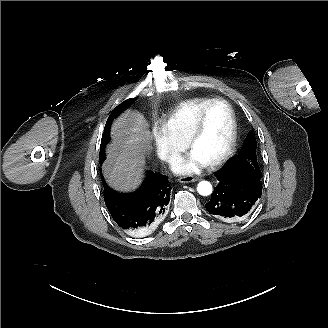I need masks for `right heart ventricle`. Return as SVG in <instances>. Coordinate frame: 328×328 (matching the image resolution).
Here are the masks:
<instances>
[{
  "mask_svg": "<svg viewBox=\"0 0 328 328\" xmlns=\"http://www.w3.org/2000/svg\"><path fill=\"white\" fill-rule=\"evenodd\" d=\"M212 98L198 97L188 99L174 108L156 116V122L160 123L169 136L175 141L185 144L187 134L202 107Z\"/></svg>",
  "mask_w": 328,
  "mask_h": 328,
  "instance_id": "e07e8e85",
  "label": "right heart ventricle"
}]
</instances>
